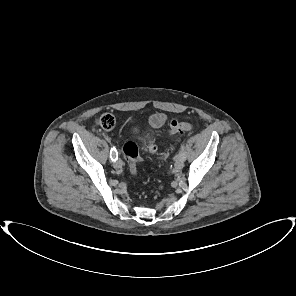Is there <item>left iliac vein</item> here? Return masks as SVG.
Masks as SVG:
<instances>
[{
    "instance_id": "left-iliac-vein-1",
    "label": "left iliac vein",
    "mask_w": 296,
    "mask_h": 296,
    "mask_svg": "<svg viewBox=\"0 0 296 296\" xmlns=\"http://www.w3.org/2000/svg\"><path fill=\"white\" fill-rule=\"evenodd\" d=\"M174 166L176 170H181L184 166V159L181 157H178L175 161Z\"/></svg>"
}]
</instances>
